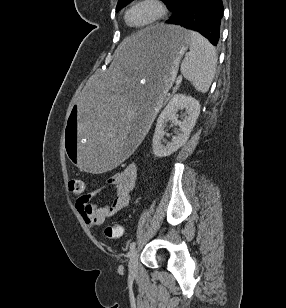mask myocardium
Segmentation results:
<instances>
[{"label": "myocardium", "mask_w": 286, "mask_h": 308, "mask_svg": "<svg viewBox=\"0 0 286 308\" xmlns=\"http://www.w3.org/2000/svg\"><path fill=\"white\" fill-rule=\"evenodd\" d=\"M142 3H150V4H152L156 8L157 14H156V16L150 22H148L146 24H143V25L136 26V25H133V24L130 23V21H129V13H130V11L135 6L140 5ZM166 12H167V9H166L164 3L161 0H135L128 7V9L125 12V22L131 28H134V29H145V28L152 27V26L156 25L157 23H159L164 18V16L166 15Z\"/></svg>", "instance_id": "f54148a6"}]
</instances>
